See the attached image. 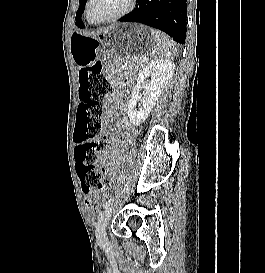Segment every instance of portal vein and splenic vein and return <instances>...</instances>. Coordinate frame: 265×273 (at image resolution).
<instances>
[{
    "label": "portal vein and splenic vein",
    "mask_w": 265,
    "mask_h": 273,
    "mask_svg": "<svg viewBox=\"0 0 265 273\" xmlns=\"http://www.w3.org/2000/svg\"><path fill=\"white\" fill-rule=\"evenodd\" d=\"M144 61L148 62V58H147V57H144Z\"/></svg>",
    "instance_id": "obj_1"
}]
</instances>
